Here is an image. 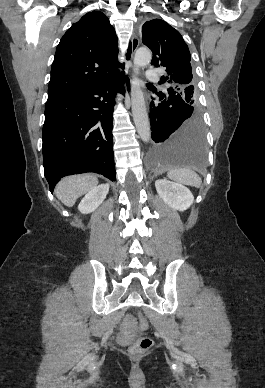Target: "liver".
<instances>
[{"label":"liver","instance_id":"liver-1","mask_svg":"<svg viewBox=\"0 0 265 388\" xmlns=\"http://www.w3.org/2000/svg\"><path fill=\"white\" fill-rule=\"evenodd\" d=\"M98 184V178L93 176V174H80V176H67V178H62L58 182L55 188V194L68 208L74 206L77 198L87 194L93 188H96Z\"/></svg>","mask_w":265,"mask_h":388}]
</instances>
